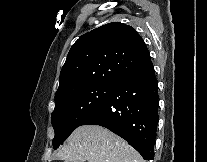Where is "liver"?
Here are the masks:
<instances>
[{
    "mask_svg": "<svg viewBox=\"0 0 207 162\" xmlns=\"http://www.w3.org/2000/svg\"><path fill=\"white\" fill-rule=\"evenodd\" d=\"M56 157L64 162H145L124 139L91 124L75 129Z\"/></svg>",
    "mask_w": 207,
    "mask_h": 162,
    "instance_id": "1",
    "label": "liver"
}]
</instances>
